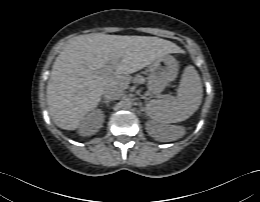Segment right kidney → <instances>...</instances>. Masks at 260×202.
Returning a JSON list of instances; mask_svg holds the SVG:
<instances>
[{
  "label": "right kidney",
  "mask_w": 260,
  "mask_h": 202,
  "mask_svg": "<svg viewBox=\"0 0 260 202\" xmlns=\"http://www.w3.org/2000/svg\"><path fill=\"white\" fill-rule=\"evenodd\" d=\"M104 122V114L101 110H93L80 123L79 134L88 136L96 133Z\"/></svg>",
  "instance_id": "obj_1"
}]
</instances>
